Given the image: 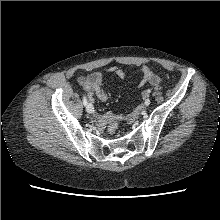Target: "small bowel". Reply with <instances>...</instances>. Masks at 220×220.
<instances>
[{"mask_svg": "<svg viewBox=\"0 0 220 220\" xmlns=\"http://www.w3.org/2000/svg\"><path fill=\"white\" fill-rule=\"evenodd\" d=\"M107 75L115 74L120 78L124 77V71L118 67H110L106 70ZM141 80L140 86L149 85H159L161 82L160 77L155 74L152 69L148 66L141 67ZM104 74L101 72H94L86 77H79L77 82L89 95L90 100L96 96L100 101H107L109 99V93L103 88ZM94 120L103 127L105 124V117L103 115H95Z\"/></svg>", "mask_w": 220, "mask_h": 220, "instance_id": "1", "label": "small bowel"}]
</instances>
